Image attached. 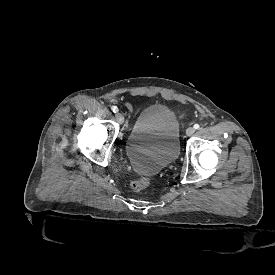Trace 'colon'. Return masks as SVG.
Listing matches in <instances>:
<instances>
[{"mask_svg":"<svg viewBox=\"0 0 275 275\" xmlns=\"http://www.w3.org/2000/svg\"><path fill=\"white\" fill-rule=\"evenodd\" d=\"M188 116H189V113L187 111L180 112L178 114V117L180 119L187 118ZM149 184H150V182L146 177H139V178L135 179L134 181H132L130 186L134 192H141L144 189H146L149 186Z\"/></svg>","mask_w":275,"mask_h":275,"instance_id":"5ec220e1","label":"colon"}]
</instances>
